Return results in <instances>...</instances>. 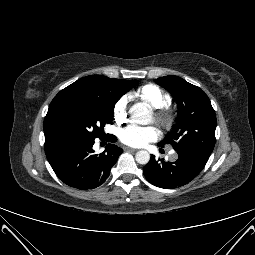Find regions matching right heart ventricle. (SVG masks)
Here are the masks:
<instances>
[{"label": "right heart ventricle", "mask_w": 255, "mask_h": 255, "mask_svg": "<svg viewBox=\"0 0 255 255\" xmlns=\"http://www.w3.org/2000/svg\"><path fill=\"white\" fill-rule=\"evenodd\" d=\"M133 96L153 108L166 107L171 101L170 96L162 88L151 83L139 87Z\"/></svg>", "instance_id": "e07e8e85"}]
</instances>
